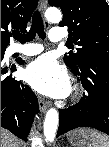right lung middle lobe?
<instances>
[{"mask_svg":"<svg viewBox=\"0 0 109 147\" xmlns=\"http://www.w3.org/2000/svg\"><path fill=\"white\" fill-rule=\"evenodd\" d=\"M5 49L1 48V58L3 59Z\"/></svg>","mask_w":109,"mask_h":147,"instance_id":"1","label":"right lung middle lobe"}]
</instances>
